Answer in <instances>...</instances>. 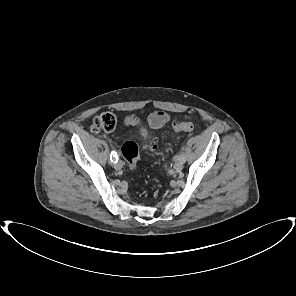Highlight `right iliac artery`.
Segmentation results:
<instances>
[{
  "mask_svg": "<svg viewBox=\"0 0 296 296\" xmlns=\"http://www.w3.org/2000/svg\"><path fill=\"white\" fill-rule=\"evenodd\" d=\"M110 160H111L112 163H116L118 161V155H117V153L115 151L111 152Z\"/></svg>",
  "mask_w": 296,
  "mask_h": 296,
  "instance_id": "1",
  "label": "right iliac artery"
}]
</instances>
